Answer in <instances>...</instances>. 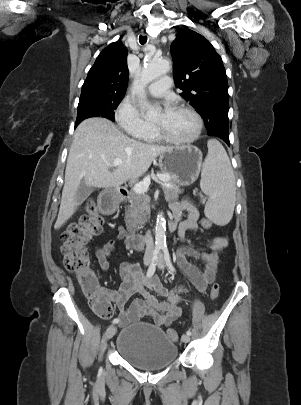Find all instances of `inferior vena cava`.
Masks as SVG:
<instances>
[{"label": "inferior vena cava", "instance_id": "1", "mask_svg": "<svg viewBox=\"0 0 301 405\" xmlns=\"http://www.w3.org/2000/svg\"><path fill=\"white\" fill-rule=\"evenodd\" d=\"M145 242H146V254H152L154 251V241L150 231H147L145 235Z\"/></svg>", "mask_w": 301, "mask_h": 405}]
</instances>
